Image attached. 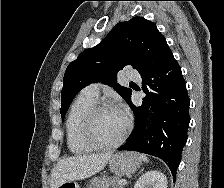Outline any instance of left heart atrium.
<instances>
[{"mask_svg":"<svg viewBox=\"0 0 224 188\" xmlns=\"http://www.w3.org/2000/svg\"><path fill=\"white\" fill-rule=\"evenodd\" d=\"M116 111L120 114V116L127 121L128 120V110L125 106H120L116 109Z\"/></svg>","mask_w":224,"mask_h":188,"instance_id":"left-heart-atrium-1","label":"left heart atrium"}]
</instances>
